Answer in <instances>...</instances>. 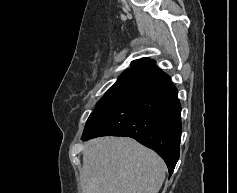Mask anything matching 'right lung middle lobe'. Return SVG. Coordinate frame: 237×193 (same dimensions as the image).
Masks as SVG:
<instances>
[{"instance_id": "right-lung-middle-lobe-1", "label": "right lung middle lobe", "mask_w": 237, "mask_h": 193, "mask_svg": "<svg viewBox=\"0 0 237 193\" xmlns=\"http://www.w3.org/2000/svg\"><path fill=\"white\" fill-rule=\"evenodd\" d=\"M144 72L145 71H133L122 74L117 82L111 86L105 95L97 102L90 116L107 110L123 101L140 85Z\"/></svg>"}]
</instances>
